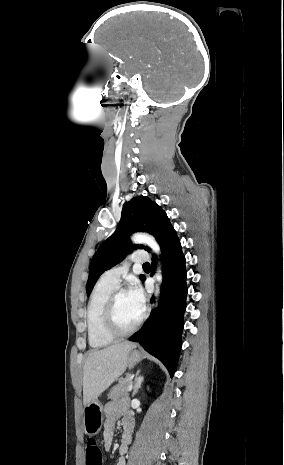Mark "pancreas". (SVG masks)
<instances>
[{
  "label": "pancreas",
  "mask_w": 284,
  "mask_h": 465,
  "mask_svg": "<svg viewBox=\"0 0 284 465\" xmlns=\"http://www.w3.org/2000/svg\"><path fill=\"white\" fill-rule=\"evenodd\" d=\"M131 375H127L126 379L120 381L119 385L113 387L112 391H110L108 397L112 399V401H118V399H123V397H128V389L131 385L130 381Z\"/></svg>",
  "instance_id": "obj_1"
}]
</instances>
